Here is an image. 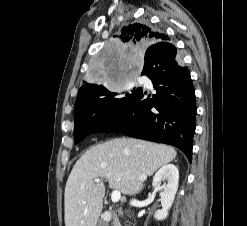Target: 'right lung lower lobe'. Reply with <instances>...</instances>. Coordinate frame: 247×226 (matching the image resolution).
Wrapping results in <instances>:
<instances>
[{
    "label": "right lung lower lobe",
    "instance_id": "1",
    "mask_svg": "<svg viewBox=\"0 0 247 226\" xmlns=\"http://www.w3.org/2000/svg\"><path fill=\"white\" fill-rule=\"evenodd\" d=\"M142 75L152 80L156 94L141 88L132 90L95 132H123L170 144L182 150L191 162L197 109L188 68L176 57L171 43H157L146 51Z\"/></svg>",
    "mask_w": 247,
    "mask_h": 226
}]
</instances>
